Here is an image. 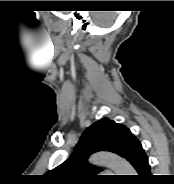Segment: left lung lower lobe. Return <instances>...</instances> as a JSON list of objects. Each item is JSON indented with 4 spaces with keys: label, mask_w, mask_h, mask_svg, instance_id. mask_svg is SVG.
Segmentation results:
<instances>
[{
    "label": "left lung lower lobe",
    "mask_w": 174,
    "mask_h": 184,
    "mask_svg": "<svg viewBox=\"0 0 174 184\" xmlns=\"http://www.w3.org/2000/svg\"><path fill=\"white\" fill-rule=\"evenodd\" d=\"M127 160L137 171L135 179L146 180L151 177L150 165L148 164V157L144 152L140 142H137L130 153L128 154Z\"/></svg>",
    "instance_id": "left-lung-lower-lobe-1"
}]
</instances>
